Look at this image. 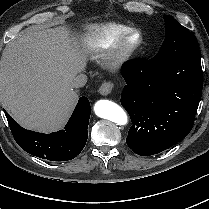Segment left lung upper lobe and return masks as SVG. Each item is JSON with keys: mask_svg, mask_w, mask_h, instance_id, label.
I'll return each instance as SVG.
<instances>
[{"mask_svg": "<svg viewBox=\"0 0 209 209\" xmlns=\"http://www.w3.org/2000/svg\"><path fill=\"white\" fill-rule=\"evenodd\" d=\"M166 38L152 62L169 61L188 52L199 50L191 32L169 15L164 16Z\"/></svg>", "mask_w": 209, "mask_h": 209, "instance_id": "obj_1", "label": "left lung upper lobe"}]
</instances>
